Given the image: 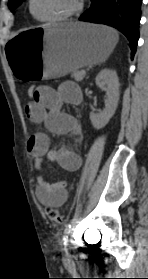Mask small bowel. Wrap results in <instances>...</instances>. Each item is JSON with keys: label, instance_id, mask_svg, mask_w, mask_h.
Returning <instances> with one entry per match:
<instances>
[{"label": "small bowel", "instance_id": "obj_1", "mask_svg": "<svg viewBox=\"0 0 148 279\" xmlns=\"http://www.w3.org/2000/svg\"><path fill=\"white\" fill-rule=\"evenodd\" d=\"M38 96L30 101L25 112L33 123H42L52 133L58 135H80L77 120L62 110L64 104L77 105L81 101L79 87L73 82H65L58 89L49 86H39ZM28 152L34 160L36 176V194L38 200L46 205L58 207L67 199V182L65 180L49 183L42 175L44 159L56 162L67 171H75L81 165V156L70 147L52 150L49 139L44 133H37L28 141Z\"/></svg>", "mask_w": 148, "mask_h": 279}]
</instances>
